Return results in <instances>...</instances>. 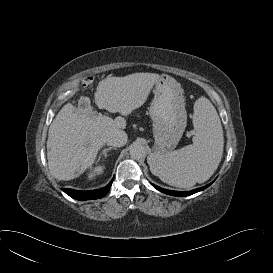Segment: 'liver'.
Masks as SVG:
<instances>
[{
  "mask_svg": "<svg viewBox=\"0 0 273 273\" xmlns=\"http://www.w3.org/2000/svg\"><path fill=\"white\" fill-rule=\"evenodd\" d=\"M160 78L155 73H133L124 77H107L99 82L95 103L100 109L119 112L123 116L141 107ZM123 117L114 120L95 115L90 105H64L52 121L47 140L50 173L58 180H71L90 168L116 129H124Z\"/></svg>",
  "mask_w": 273,
  "mask_h": 273,
  "instance_id": "6515ba94",
  "label": "liver"
}]
</instances>
